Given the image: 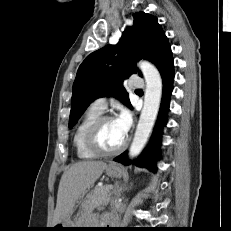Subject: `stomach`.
Returning a JSON list of instances; mask_svg holds the SVG:
<instances>
[{"label": "stomach", "mask_w": 231, "mask_h": 231, "mask_svg": "<svg viewBox=\"0 0 231 231\" xmlns=\"http://www.w3.org/2000/svg\"><path fill=\"white\" fill-rule=\"evenodd\" d=\"M106 175L111 178H121L125 174V169L116 163H110L105 168ZM82 205L85 204V200L81 201ZM83 220L80 219L78 222H73L70 218L66 221L59 222L52 229L54 231H71L76 229L71 228H83L81 227Z\"/></svg>", "instance_id": "obj_1"}]
</instances>
